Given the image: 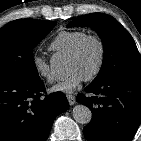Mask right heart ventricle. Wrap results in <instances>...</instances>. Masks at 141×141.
Wrapping results in <instances>:
<instances>
[{
	"label": "right heart ventricle",
	"instance_id": "1",
	"mask_svg": "<svg viewBox=\"0 0 141 141\" xmlns=\"http://www.w3.org/2000/svg\"><path fill=\"white\" fill-rule=\"evenodd\" d=\"M86 35L84 31H62L52 40L49 49L55 53L69 55L77 43Z\"/></svg>",
	"mask_w": 141,
	"mask_h": 141
}]
</instances>
